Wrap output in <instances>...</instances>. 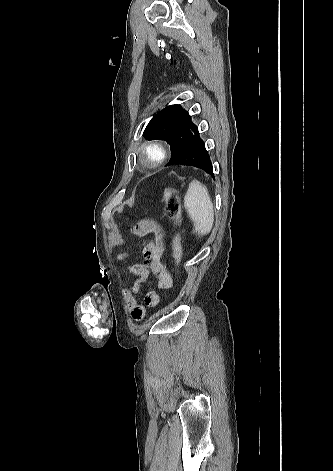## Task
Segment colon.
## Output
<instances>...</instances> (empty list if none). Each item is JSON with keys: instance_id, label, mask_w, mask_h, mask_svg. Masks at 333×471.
Listing matches in <instances>:
<instances>
[{"instance_id": "1", "label": "colon", "mask_w": 333, "mask_h": 471, "mask_svg": "<svg viewBox=\"0 0 333 471\" xmlns=\"http://www.w3.org/2000/svg\"><path fill=\"white\" fill-rule=\"evenodd\" d=\"M163 201L167 209L169 218L177 225L178 230L173 237L172 255L176 270L180 271V264L183 255L182 235L180 226L182 224V209L180 198L176 189L166 187L163 191Z\"/></svg>"}]
</instances>
